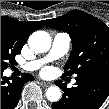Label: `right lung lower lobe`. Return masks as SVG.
<instances>
[{"mask_svg":"<svg viewBox=\"0 0 109 109\" xmlns=\"http://www.w3.org/2000/svg\"><path fill=\"white\" fill-rule=\"evenodd\" d=\"M2 75L3 71H1V109H13L18 103L23 84L34 78L31 74L24 73L21 78L9 81V78Z\"/></svg>","mask_w":109,"mask_h":109,"instance_id":"98d812e1","label":"right lung lower lobe"}]
</instances>
